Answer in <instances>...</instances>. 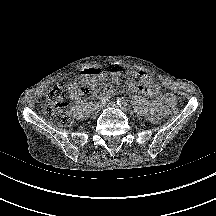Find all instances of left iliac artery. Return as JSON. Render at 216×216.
Instances as JSON below:
<instances>
[{"label": "left iliac artery", "mask_w": 216, "mask_h": 216, "mask_svg": "<svg viewBox=\"0 0 216 216\" xmlns=\"http://www.w3.org/2000/svg\"><path fill=\"white\" fill-rule=\"evenodd\" d=\"M117 104L119 105V106H124V107H127V106H129V103H128V101L126 100V99H124V98H117Z\"/></svg>", "instance_id": "1"}]
</instances>
